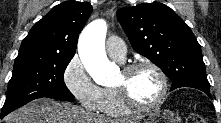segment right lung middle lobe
<instances>
[{"instance_id":"obj_1","label":"right lung middle lobe","mask_w":221,"mask_h":123,"mask_svg":"<svg viewBox=\"0 0 221 123\" xmlns=\"http://www.w3.org/2000/svg\"><path fill=\"white\" fill-rule=\"evenodd\" d=\"M74 55L43 52H19L8 83L6 101L1 110L11 111L42 97L72 100L64 83V71Z\"/></svg>"}]
</instances>
